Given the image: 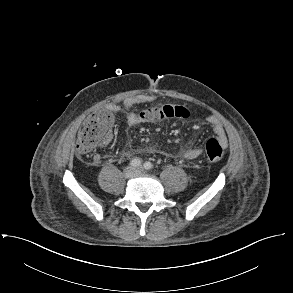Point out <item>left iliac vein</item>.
I'll return each mask as SVG.
<instances>
[{
	"mask_svg": "<svg viewBox=\"0 0 293 293\" xmlns=\"http://www.w3.org/2000/svg\"><path fill=\"white\" fill-rule=\"evenodd\" d=\"M141 173H142V168L139 167V168L137 169V174H141Z\"/></svg>",
	"mask_w": 293,
	"mask_h": 293,
	"instance_id": "left-iliac-vein-1",
	"label": "left iliac vein"
}]
</instances>
